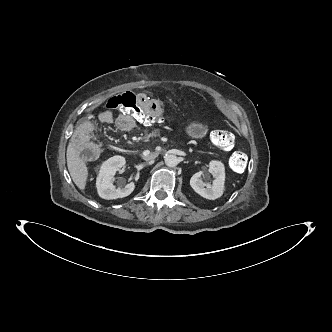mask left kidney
Masks as SVG:
<instances>
[{
  "label": "left kidney",
  "instance_id": "5707ae66",
  "mask_svg": "<svg viewBox=\"0 0 332 332\" xmlns=\"http://www.w3.org/2000/svg\"><path fill=\"white\" fill-rule=\"evenodd\" d=\"M208 172L213 175L214 180L211 183L202 181L203 171L195 173L190 179V185L195 192L202 197L214 200L223 194L225 181V168L219 161H211Z\"/></svg>",
  "mask_w": 332,
  "mask_h": 332
}]
</instances>
